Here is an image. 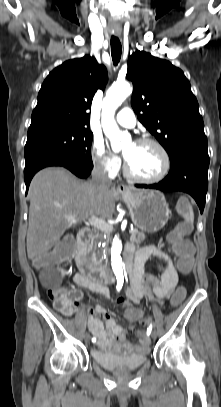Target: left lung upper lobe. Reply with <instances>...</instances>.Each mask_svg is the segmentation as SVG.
Here are the masks:
<instances>
[{"label":"left lung upper lobe","mask_w":221,"mask_h":407,"mask_svg":"<svg viewBox=\"0 0 221 407\" xmlns=\"http://www.w3.org/2000/svg\"><path fill=\"white\" fill-rule=\"evenodd\" d=\"M126 77L134 87L133 110L170 158L185 144L207 142L198 102L182 70L137 50L128 60Z\"/></svg>","instance_id":"1"}]
</instances>
